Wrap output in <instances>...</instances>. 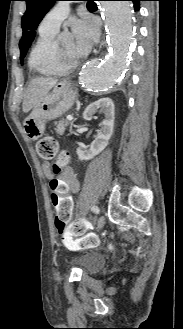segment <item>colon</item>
<instances>
[{
	"mask_svg": "<svg viewBox=\"0 0 183 329\" xmlns=\"http://www.w3.org/2000/svg\"><path fill=\"white\" fill-rule=\"evenodd\" d=\"M37 153L42 159L53 160L54 172H58L67 163L68 155L66 152L58 153V143L51 136L41 138L36 145ZM71 218H55V224L59 232L60 238L66 239L68 237H80L84 231H92V224H85L83 220H77L70 223ZM98 239L93 234L85 235L79 239L78 246H96Z\"/></svg>",
	"mask_w": 183,
	"mask_h": 329,
	"instance_id": "1",
	"label": "colon"
}]
</instances>
